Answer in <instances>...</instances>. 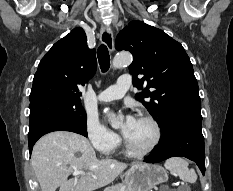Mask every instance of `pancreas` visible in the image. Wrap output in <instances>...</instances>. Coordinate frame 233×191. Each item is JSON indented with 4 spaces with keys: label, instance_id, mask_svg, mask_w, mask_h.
Segmentation results:
<instances>
[{
    "label": "pancreas",
    "instance_id": "1",
    "mask_svg": "<svg viewBox=\"0 0 233 191\" xmlns=\"http://www.w3.org/2000/svg\"><path fill=\"white\" fill-rule=\"evenodd\" d=\"M104 191H129L122 184H117L111 187L106 188Z\"/></svg>",
    "mask_w": 233,
    "mask_h": 191
}]
</instances>
